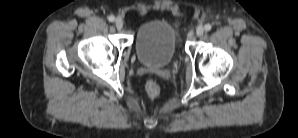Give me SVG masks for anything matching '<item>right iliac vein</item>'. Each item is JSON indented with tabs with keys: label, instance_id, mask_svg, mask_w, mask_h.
Here are the masks:
<instances>
[{
	"label": "right iliac vein",
	"instance_id": "right-iliac-vein-1",
	"mask_svg": "<svg viewBox=\"0 0 298 138\" xmlns=\"http://www.w3.org/2000/svg\"><path fill=\"white\" fill-rule=\"evenodd\" d=\"M115 26L118 30H121L123 28V20L121 18H116Z\"/></svg>",
	"mask_w": 298,
	"mask_h": 138
}]
</instances>
